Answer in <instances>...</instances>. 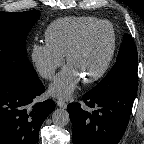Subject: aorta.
<instances>
[{
  "instance_id": "1",
  "label": "aorta",
  "mask_w": 144,
  "mask_h": 144,
  "mask_svg": "<svg viewBox=\"0 0 144 144\" xmlns=\"http://www.w3.org/2000/svg\"><path fill=\"white\" fill-rule=\"evenodd\" d=\"M52 121L56 126L64 127L70 122L68 111L64 109H56L52 113Z\"/></svg>"
}]
</instances>
